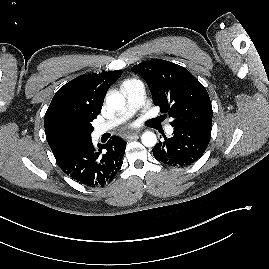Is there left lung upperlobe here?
I'll return each mask as SVG.
<instances>
[{
  "label": "left lung upper lobe",
  "instance_id": "left-lung-upper-lobe-1",
  "mask_svg": "<svg viewBox=\"0 0 269 269\" xmlns=\"http://www.w3.org/2000/svg\"><path fill=\"white\" fill-rule=\"evenodd\" d=\"M131 70L147 82L155 105L173 118L171 126H211L212 106L205 87L184 67L161 59Z\"/></svg>",
  "mask_w": 269,
  "mask_h": 269
}]
</instances>
